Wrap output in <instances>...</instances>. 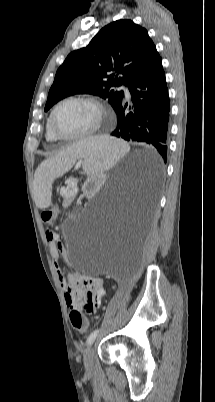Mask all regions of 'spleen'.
Segmentation results:
<instances>
[{"label":"spleen","instance_id":"1","mask_svg":"<svg viewBox=\"0 0 215 402\" xmlns=\"http://www.w3.org/2000/svg\"><path fill=\"white\" fill-rule=\"evenodd\" d=\"M128 151L129 145L123 141L107 136H96L74 143L57 156L47 159L36 173L37 184L34 190L36 208L38 210L50 208L47 194L53 180L69 171L77 159H83L81 163L84 171L88 175H93L98 169L106 171L111 168Z\"/></svg>","mask_w":215,"mask_h":402}]
</instances>
